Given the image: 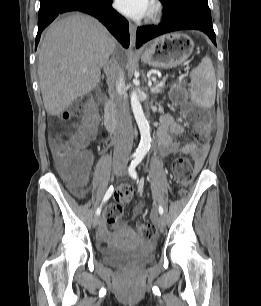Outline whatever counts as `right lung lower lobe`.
I'll list each match as a JSON object with an SVG mask.
<instances>
[{"label":"right lung lower lobe","instance_id":"right-lung-lower-lobe-1","mask_svg":"<svg viewBox=\"0 0 261 306\" xmlns=\"http://www.w3.org/2000/svg\"><path fill=\"white\" fill-rule=\"evenodd\" d=\"M113 0H40L38 15V33L36 47L44 28L58 14L68 11H82L96 17L102 22L115 38L127 48L130 42L129 24L117 11L112 8Z\"/></svg>","mask_w":261,"mask_h":306}]
</instances>
